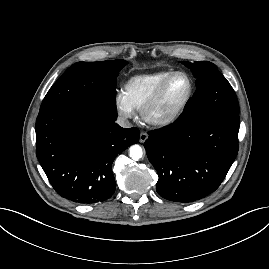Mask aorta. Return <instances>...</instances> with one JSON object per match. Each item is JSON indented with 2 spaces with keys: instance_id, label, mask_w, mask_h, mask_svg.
Instances as JSON below:
<instances>
[{
  "instance_id": "1",
  "label": "aorta",
  "mask_w": 269,
  "mask_h": 269,
  "mask_svg": "<svg viewBox=\"0 0 269 269\" xmlns=\"http://www.w3.org/2000/svg\"><path fill=\"white\" fill-rule=\"evenodd\" d=\"M129 156L133 159V160H139L142 156H143V149L141 146H139L138 144L132 145L129 148Z\"/></svg>"
}]
</instances>
